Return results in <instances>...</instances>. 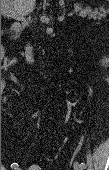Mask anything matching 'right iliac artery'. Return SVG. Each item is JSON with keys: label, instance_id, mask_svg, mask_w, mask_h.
Here are the masks:
<instances>
[{"label": "right iliac artery", "instance_id": "obj_1", "mask_svg": "<svg viewBox=\"0 0 109 170\" xmlns=\"http://www.w3.org/2000/svg\"><path fill=\"white\" fill-rule=\"evenodd\" d=\"M11 168L14 170H18V163H12Z\"/></svg>", "mask_w": 109, "mask_h": 170}]
</instances>
